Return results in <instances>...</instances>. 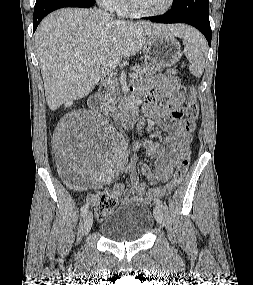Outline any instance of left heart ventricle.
Returning <instances> with one entry per match:
<instances>
[{
    "label": "left heart ventricle",
    "mask_w": 253,
    "mask_h": 285,
    "mask_svg": "<svg viewBox=\"0 0 253 285\" xmlns=\"http://www.w3.org/2000/svg\"><path fill=\"white\" fill-rule=\"evenodd\" d=\"M169 0H134L136 7L145 12H157L164 9Z\"/></svg>",
    "instance_id": "left-heart-ventricle-1"
}]
</instances>
